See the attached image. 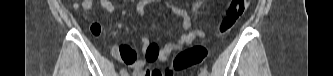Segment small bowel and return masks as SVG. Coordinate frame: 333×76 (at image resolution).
I'll list each match as a JSON object with an SVG mask.
<instances>
[{"instance_id": "obj_1", "label": "small bowel", "mask_w": 333, "mask_h": 76, "mask_svg": "<svg viewBox=\"0 0 333 76\" xmlns=\"http://www.w3.org/2000/svg\"><path fill=\"white\" fill-rule=\"evenodd\" d=\"M100 7L107 13H112L115 9L114 4L110 0H99ZM147 1L143 0L138 3V11L142 14L144 6ZM202 1L197 0L193 2V5L189 11L182 8L169 5L170 9L178 16L182 18V34L175 40V42L167 43L162 47H159L157 43L150 41L148 38H142V52L143 58L137 60L136 53L133 44H121L114 45L112 47V54L119 60H122L126 64H129L134 71L135 76H168L167 72H164V68H158L155 62H164L169 59L176 51L183 49L185 46L191 45L196 39H202L205 37V32L198 23L196 29H190L193 21L198 22L197 12ZM94 4L93 0H83L81 3L74 2L73 8L77 11L80 9L88 11ZM90 32L92 39H101V25L98 22H93L90 26ZM147 63H153L148 71L144 72L143 68Z\"/></svg>"}]
</instances>
